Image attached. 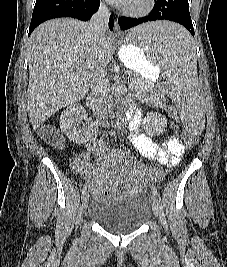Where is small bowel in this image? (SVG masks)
Returning a JSON list of instances; mask_svg holds the SVG:
<instances>
[{
    "label": "small bowel",
    "instance_id": "small-bowel-1",
    "mask_svg": "<svg viewBox=\"0 0 227 267\" xmlns=\"http://www.w3.org/2000/svg\"><path fill=\"white\" fill-rule=\"evenodd\" d=\"M127 121L132 134V141L145 158L168 167L179 163L185 151L184 144L179 138L168 137L160 143H156L148 135L139 131L141 125L139 113L128 115ZM84 165L85 161L82 158L75 161V168L78 172H84ZM89 178L91 179L89 188L96 196L115 197L120 192L117 186L101 182V172L98 170L91 172Z\"/></svg>",
    "mask_w": 227,
    "mask_h": 267
}]
</instances>
